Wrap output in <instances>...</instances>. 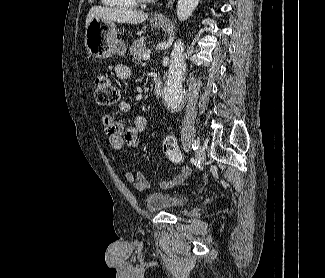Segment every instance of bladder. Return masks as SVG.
Listing matches in <instances>:
<instances>
[{"label": "bladder", "instance_id": "1", "mask_svg": "<svg viewBox=\"0 0 325 278\" xmlns=\"http://www.w3.org/2000/svg\"><path fill=\"white\" fill-rule=\"evenodd\" d=\"M147 208L152 212L175 211L188 202V198L175 192H153L145 197Z\"/></svg>", "mask_w": 325, "mask_h": 278}]
</instances>
